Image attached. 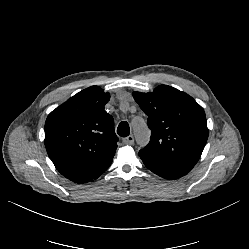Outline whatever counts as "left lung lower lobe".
Listing matches in <instances>:
<instances>
[{
  "instance_id": "obj_1",
  "label": "left lung lower lobe",
  "mask_w": 249,
  "mask_h": 249,
  "mask_svg": "<svg viewBox=\"0 0 249 249\" xmlns=\"http://www.w3.org/2000/svg\"><path fill=\"white\" fill-rule=\"evenodd\" d=\"M141 159L149 170L165 179H178L186 175L191 170L186 167L170 164L160 159Z\"/></svg>"
}]
</instances>
